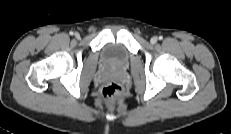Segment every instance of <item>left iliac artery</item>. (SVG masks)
<instances>
[{
  "label": "left iliac artery",
  "mask_w": 231,
  "mask_h": 134,
  "mask_svg": "<svg viewBox=\"0 0 231 134\" xmlns=\"http://www.w3.org/2000/svg\"><path fill=\"white\" fill-rule=\"evenodd\" d=\"M159 39L161 40V39H162V36H160Z\"/></svg>",
  "instance_id": "obj_1"
}]
</instances>
